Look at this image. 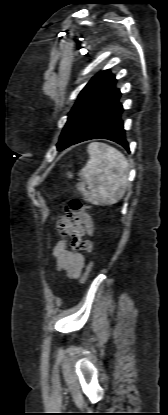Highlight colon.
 Segmentation results:
<instances>
[{
    "label": "colon",
    "instance_id": "obj_1",
    "mask_svg": "<svg viewBox=\"0 0 168 415\" xmlns=\"http://www.w3.org/2000/svg\"><path fill=\"white\" fill-rule=\"evenodd\" d=\"M68 207H79L80 210H83V212L86 210L87 206L85 205V203L83 201H81L80 199L74 198L72 200H70L69 202V206ZM92 268V262H90L87 267L86 270L82 276L81 282L84 283L91 271Z\"/></svg>",
    "mask_w": 168,
    "mask_h": 415
}]
</instances>
